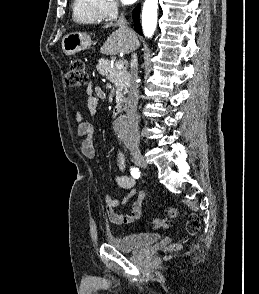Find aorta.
I'll return each instance as SVG.
<instances>
[{"mask_svg":"<svg viewBox=\"0 0 259 294\" xmlns=\"http://www.w3.org/2000/svg\"><path fill=\"white\" fill-rule=\"evenodd\" d=\"M158 0H145L142 10V28L146 37H152L157 26ZM129 119L123 117L117 123L121 133H127L130 129Z\"/></svg>","mask_w":259,"mask_h":294,"instance_id":"obj_1","label":"aorta"}]
</instances>
